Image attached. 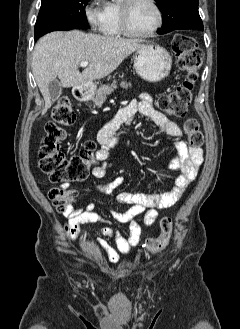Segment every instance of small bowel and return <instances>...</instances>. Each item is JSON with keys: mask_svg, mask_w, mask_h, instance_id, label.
<instances>
[{"mask_svg": "<svg viewBox=\"0 0 240 329\" xmlns=\"http://www.w3.org/2000/svg\"><path fill=\"white\" fill-rule=\"evenodd\" d=\"M138 116L150 119L163 134L175 139L176 154L172 159L171 167L178 170L180 174L173 187L161 193L120 192L116 195V202L127 205L129 208L124 212L113 209L110 213L116 222L129 224L128 237H125L115 228L111 221L97 213L95 204L92 202L87 203L83 208L69 207L67 209L68 223L65 225L67 237L71 241H76L80 236L82 225L102 224L103 227L99 229L100 237L97 239V244L112 264H118L122 256H128L132 249L139 244L143 231L136 218L143 215L144 226H151L157 219L160 209L169 208L177 203L185 189L196 177L203 161L201 149L188 146L181 139L182 131L178 125L155 108L153 98L149 94L142 93L138 99L132 100L119 109L100 130L98 141L101 146L95 152L96 165L92 168L93 177L103 178L106 176L109 168L110 151L118 144L116 131L122 126H129ZM123 183L124 178L117 177L107 184L98 185L96 189L102 193H110Z\"/></svg>", "mask_w": 240, "mask_h": 329, "instance_id": "small-bowel-1", "label": "small bowel"}]
</instances>
